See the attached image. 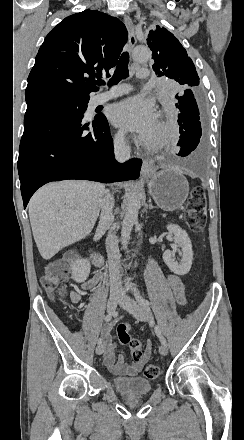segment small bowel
<instances>
[{
	"label": "small bowel",
	"instance_id": "1",
	"mask_svg": "<svg viewBox=\"0 0 244 440\" xmlns=\"http://www.w3.org/2000/svg\"><path fill=\"white\" fill-rule=\"evenodd\" d=\"M101 279L100 269L95 271L92 276L82 283V289L88 290L95 287ZM169 286L174 295L177 304L184 306L187 304V297L185 293V286L178 275L170 274L167 278ZM71 299L74 303H79L81 301V293L79 291H74L71 294ZM105 339V351H104V365L105 367L114 375L119 377H136L142 370L143 366L146 364L152 353V342H148L146 349L142 355L143 360L141 363H126L125 357L119 355L116 359L115 349L116 345L112 341Z\"/></svg>",
	"mask_w": 244,
	"mask_h": 440
}]
</instances>
